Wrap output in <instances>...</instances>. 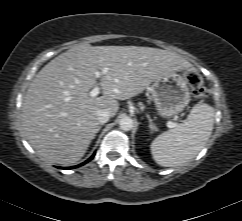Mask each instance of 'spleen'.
<instances>
[{
  "label": "spleen",
  "mask_w": 242,
  "mask_h": 221,
  "mask_svg": "<svg viewBox=\"0 0 242 221\" xmlns=\"http://www.w3.org/2000/svg\"><path fill=\"white\" fill-rule=\"evenodd\" d=\"M214 125V108L196 104L188 120L155 138L151 153L157 164L164 167L182 165L194 158L205 146Z\"/></svg>",
  "instance_id": "3e777b00"
}]
</instances>
